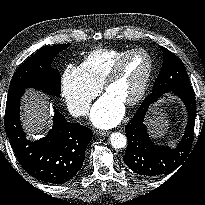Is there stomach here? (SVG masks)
<instances>
[{
	"mask_svg": "<svg viewBox=\"0 0 205 205\" xmlns=\"http://www.w3.org/2000/svg\"><path fill=\"white\" fill-rule=\"evenodd\" d=\"M145 121L149 126L150 133L153 138H161L166 134L168 130V121L163 109L159 106H155L150 110Z\"/></svg>",
	"mask_w": 205,
	"mask_h": 205,
	"instance_id": "stomach-1",
	"label": "stomach"
}]
</instances>
